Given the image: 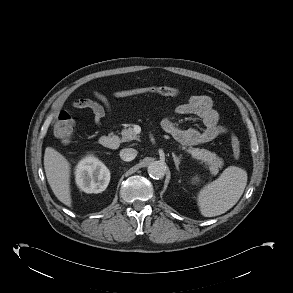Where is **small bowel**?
<instances>
[{"instance_id": "obj_1", "label": "small bowel", "mask_w": 293, "mask_h": 293, "mask_svg": "<svg viewBox=\"0 0 293 293\" xmlns=\"http://www.w3.org/2000/svg\"><path fill=\"white\" fill-rule=\"evenodd\" d=\"M95 99L79 98L73 101L75 109L89 110L95 124L101 125L103 119L110 112V104L105 95L94 92ZM177 115H191L198 117L205 125L203 130L196 128H181L170 119H164L162 128L171 134L177 141L184 145H198L213 141L226 133L227 129L221 125L219 114L214 108L213 100L207 95H192L188 100L180 104L176 109Z\"/></svg>"}]
</instances>
